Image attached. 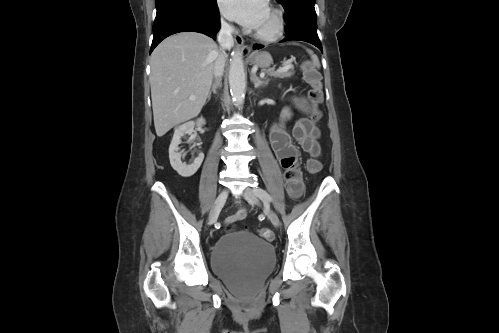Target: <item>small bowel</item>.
Returning a JSON list of instances; mask_svg holds the SVG:
<instances>
[{"label":"small bowel","instance_id":"obj_1","mask_svg":"<svg viewBox=\"0 0 499 333\" xmlns=\"http://www.w3.org/2000/svg\"><path fill=\"white\" fill-rule=\"evenodd\" d=\"M295 105L306 116L300 118L289 134L283 125L276 123L270 133L273 152L284 169L285 188L292 198H299L303 192V178L299 169V149L309 154L310 158H318L321 154L319 139L321 132L309 118L314 112L305 97L295 98ZM247 211L241 207L234 215L227 218L226 223H233L246 217Z\"/></svg>","mask_w":499,"mask_h":333}]
</instances>
